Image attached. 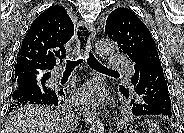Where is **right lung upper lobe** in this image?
Segmentation results:
<instances>
[{
	"label": "right lung upper lobe",
	"instance_id": "1",
	"mask_svg": "<svg viewBox=\"0 0 184 133\" xmlns=\"http://www.w3.org/2000/svg\"><path fill=\"white\" fill-rule=\"evenodd\" d=\"M74 34L73 22L65 7L54 5L31 24L15 64V75L30 71H49L65 57V45Z\"/></svg>",
	"mask_w": 184,
	"mask_h": 133
}]
</instances>
